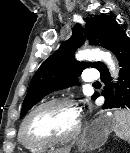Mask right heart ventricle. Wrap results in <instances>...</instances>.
<instances>
[{"mask_svg": "<svg viewBox=\"0 0 130 153\" xmlns=\"http://www.w3.org/2000/svg\"><path fill=\"white\" fill-rule=\"evenodd\" d=\"M19 141H20L22 146H24L26 149L31 150V151H41V150H43L45 148V147H32V146L26 145L23 142V140L21 139L20 133H19Z\"/></svg>", "mask_w": 130, "mask_h": 153, "instance_id": "right-heart-ventricle-1", "label": "right heart ventricle"}]
</instances>
